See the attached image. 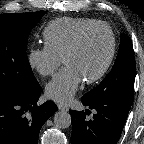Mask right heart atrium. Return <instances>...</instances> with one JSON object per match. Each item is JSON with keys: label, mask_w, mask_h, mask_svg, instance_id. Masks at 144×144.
Instances as JSON below:
<instances>
[{"label": "right heart atrium", "mask_w": 144, "mask_h": 144, "mask_svg": "<svg viewBox=\"0 0 144 144\" xmlns=\"http://www.w3.org/2000/svg\"><path fill=\"white\" fill-rule=\"evenodd\" d=\"M27 61L29 66L41 76H50L62 63V57L46 45L42 47L33 46L30 48Z\"/></svg>", "instance_id": "d8ad5b80"}]
</instances>
